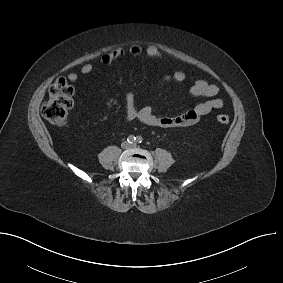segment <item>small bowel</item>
Instances as JSON below:
<instances>
[{
    "label": "small bowel",
    "mask_w": 283,
    "mask_h": 283,
    "mask_svg": "<svg viewBox=\"0 0 283 283\" xmlns=\"http://www.w3.org/2000/svg\"><path fill=\"white\" fill-rule=\"evenodd\" d=\"M140 56L146 54L153 59H164V53L155 45H150L143 48L140 45H131L128 49L118 47L110 52H107L101 56V63L104 65H110L115 61L124 58L126 55ZM93 71V65L84 64L80 72L84 75L90 74ZM187 75L182 70H177L173 73L166 74L162 77L160 83H181L185 81ZM67 79L71 82H75L78 79V74L71 72L67 75ZM219 89L216 85L211 84L205 80H197L190 87L191 95L195 97L206 98L205 101L197 104L192 109L176 116H160L154 113L151 106L146 105L141 108H137L135 105V96L133 92L128 91L125 93V105H126V117L128 120L138 119L141 122L160 128H176L186 127L196 124L203 116L211 113L213 110L220 109L223 106V100L219 98Z\"/></svg>",
    "instance_id": "c3829d8e"
}]
</instances>
